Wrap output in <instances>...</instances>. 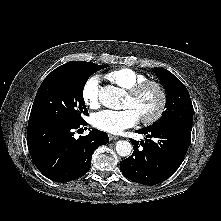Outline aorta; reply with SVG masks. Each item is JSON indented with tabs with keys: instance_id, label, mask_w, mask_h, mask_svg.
<instances>
[{
	"instance_id": "1",
	"label": "aorta",
	"mask_w": 221,
	"mask_h": 221,
	"mask_svg": "<svg viewBox=\"0 0 221 221\" xmlns=\"http://www.w3.org/2000/svg\"><path fill=\"white\" fill-rule=\"evenodd\" d=\"M123 97L122 89L114 86H106L100 91L99 99L103 106L110 109H118ZM116 152L122 157L131 155L132 145L126 140H119L116 143Z\"/></svg>"
}]
</instances>
